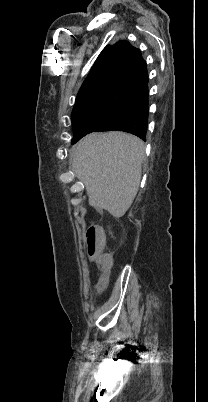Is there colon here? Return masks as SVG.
<instances>
[{"label":"colon","instance_id":"1","mask_svg":"<svg viewBox=\"0 0 208 402\" xmlns=\"http://www.w3.org/2000/svg\"><path fill=\"white\" fill-rule=\"evenodd\" d=\"M87 238L90 242H88V248L85 250L86 255L89 256L92 264L98 265V268L101 270V276H108L111 265L114 263V258L110 256L109 250H101L106 243L105 234L103 232H96V229L91 227ZM96 288L101 295H108L110 292L105 282H98Z\"/></svg>","mask_w":208,"mask_h":402}]
</instances>
